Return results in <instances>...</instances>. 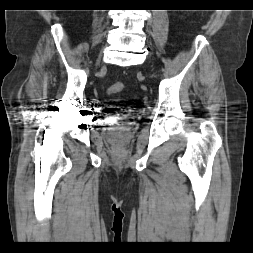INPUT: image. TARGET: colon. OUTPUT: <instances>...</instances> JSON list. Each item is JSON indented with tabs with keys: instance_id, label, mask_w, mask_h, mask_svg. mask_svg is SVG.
<instances>
[{
	"instance_id": "colon-1",
	"label": "colon",
	"mask_w": 253,
	"mask_h": 253,
	"mask_svg": "<svg viewBox=\"0 0 253 253\" xmlns=\"http://www.w3.org/2000/svg\"><path fill=\"white\" fill-rule=\"evenodd\" d=\"M124 85L121 82H116L112 85H110V87L108 88V93L109 94H115V93H119L123 90Z\"/></svg>"
}]
</instances>
